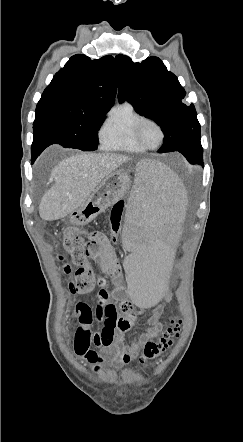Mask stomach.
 <instances>
[{
	"instance_id": "obj_1",
	"label": "stomach",
	"mask_w": 243,
	"mask_h": 442,
	"mask_svg": "<svg viewBox=\"0 0 243 442\" xmlns=\"http://www.w3.org/2000/svg\"><path fill=\"white\" fill-rule=\"evenodd\" d=\"M131 181L129 175L118 170L109 174L90 195L85 203L69 214V221L73 225H84L91 222L99 214L129 191Z\"/></svg>"
}]
</instances>
